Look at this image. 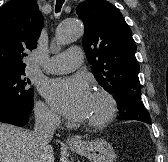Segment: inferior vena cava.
Segmentation results:
<instances>
[{
	"instance_id": "1",
	"label": "inferior vena cava",
	"mask_w": 168,
	"mask_h": 162,
	"mask_svg": "<svg viewBox=\"0 0 168 162\" xmlns=\"http://www.w3.org/2000/svg\"><path fill=\"white\" fill-rule=\"evenodd\" d=\"M59 123L58 116L51 111L47 109H37L35 111V127L32 136L37 152L48 147Z\"/></svg>"
}]
</instances>
